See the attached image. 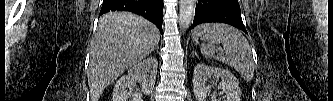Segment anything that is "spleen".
<instances>
[{"label": "spleen", "instance_id": "3e777b00", "mask_svg": "<svg viewBox=\"0 0 333 101\" xmlns=\"http://www.w3.org/2000/svg\"><path fill=\"white\" fill-rule=\"evenodd\" d=\"M201 38L208 44L201 47V53L207 58L217 60L233 67L241 77L250 82L254 76V62L251 48L246 38L235 28L225 24L207 23L198 26L192 34L194 41ZM222 43L225 55L215 56L213 44Z\"/></svg>", "mask_w": 333, "mask_h": 101}]
</instances>
